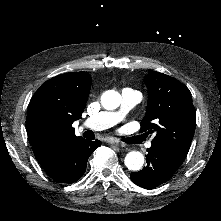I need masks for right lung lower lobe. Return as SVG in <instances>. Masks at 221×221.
<instances>
[{
	"instance_id": "right-lung-lower-lobe-1",
	"label": "right lung lower lobe",
	"mask_w": 221,
	"mask_h": 221,
	"mask_svg": "<svg viewBox=\"0 0 221 221\" xmlns=\"http://www.w3.org/2000/svg\"><path fill=\"white\" fill-rule=\"evenodd\" d=\"M101 145L99 140H73L40 162L45 172L55 181L74 183L85 173L89 156Z\"/></svg>"
}]
</instances>
